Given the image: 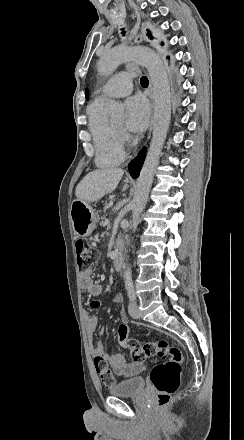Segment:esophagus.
Listing matches in <instances>:
<instances>
[{
  "instance_id": "1",
  "label": "esophagus",
  "mask_w": 244,
  "mask_h": 440,
  "mask_svg": "<svg viewBox=\"0 0 244 440\" xmlns=\"http://www.w3.org/2000/svg\"><path fill=\"white\" fill-rule=\"evenodd\" d=\"M143 41V37L141 34H137L135 39H134V43L139 44ZM150 128L148 131V138H150L151 133H152V128H153V111H154V100H153V96L150 95Z\"/></svg>"
}]
</instances>
